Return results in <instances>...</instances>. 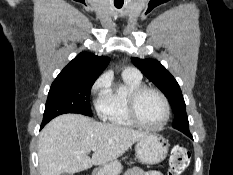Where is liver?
<instances>
[{"label":"liver","instance_id":"6515ba94","mask_svg":"<svg viewBox=\"0 0 233 175\" xmlns=\"http://www.w3.org/2000/svg\"><path fill=\"white\" fill-rule=\"evenodd\" d=\"M148 133L80 114L54 118L41 131L38 156L41 175L77 173L93 165H104L123 155ZM95 147L90 158L88 150Z\"/></svg>","mask_w":233,"mask_h":175}]
</instances>
